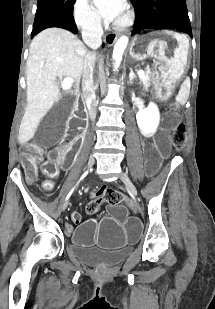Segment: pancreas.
<instances>
[{
  "mask_svg": "<svg viewBox=\"0 0 215 309\" xmlns=\"http://www.w3.org/2000/svg\"><path fill=\"white\" fill-rule=\"evenodd\" d=\"M145 80H142L144 86H150L151 84V78H147V76H150L149 72H145Z\"/></svg>",
  "mask_w": 215,
  "mask_h": 309,
  "instance_id": "cf45deb5",
  "label": "pancreas"
}]
</instances>
